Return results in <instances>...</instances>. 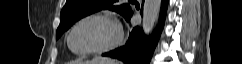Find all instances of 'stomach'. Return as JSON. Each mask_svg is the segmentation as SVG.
I'll use <instances>...</instances> for the list:
<instances>
[{"mask_svg":"<svg viewBox=\"0 0 242 64\" xmlns=\"http://www.w3.org/2000/svg\"><path fill=\"white\" fill-rule=\"evenodd\" d=\"M80 64H107V63H101V62L92 63L91 61H87V62H81Z\"/></svg>","mask_w":242,"mask_h":64,"instance_id":"1","label":"stomach"}]
</instances>
